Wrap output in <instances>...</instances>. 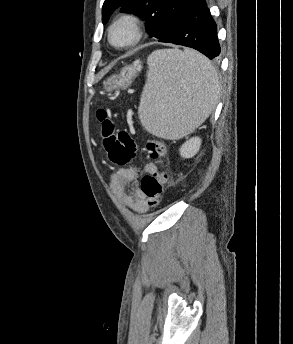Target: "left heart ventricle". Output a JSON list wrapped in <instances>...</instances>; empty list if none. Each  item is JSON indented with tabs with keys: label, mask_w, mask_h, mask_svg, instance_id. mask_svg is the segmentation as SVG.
<instances>
[{
	"label": "left heart ventricle",
	"mask_w": 293,
	"mask_h": 344,
	"mask_svg": "<svg viewBox=\"0 0 293 344\" xmlns=\"http://www.w3.org/2000/svg\"><path fill=\"white\" fill-rule=\"evenodd\" d=\"M132 37L130 28L126 25L117 27L113 32V40L117 44H123L128 42Z\"/></svg>",
	"instance_id": "obj_1"
}]
</instances>
